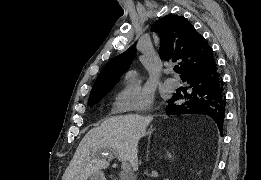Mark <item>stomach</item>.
Wrapping results in <instances>:
<instances>
[{
    "label": "stomach",
    "instance_id": "stomach-1",
    "mask_svg": "<svg viewBox=\"0 0 261 180\" xmlns=\"http://www.w3.org/2000/svg\"><path fill=\"white\" fill-rule=\"evenodd\" d=\"M89 180H106V179L102 171H97L90 175Z\"/></svg>",
    "mask_w": 261,
    "mask_h": 180
}]
</instances>
